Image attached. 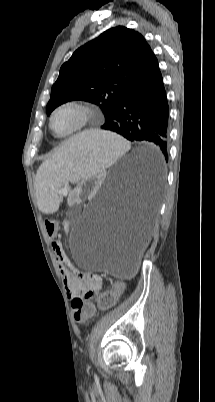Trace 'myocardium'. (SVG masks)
Masks as SVG:
<instances>
[{"label": "myocardium", "mask_w": 215, "mask_h": 402, "mask_svg": "<svg viewBox=\"0 0 215 402\" xmlns=\"http://www.w3.org/2000/svg\"><path fill=\"white\" fill-rule=\"evenodd\" d=\"M63 110L75 111L79 115V121L78 124L72 130L60 134L57 133L56 130L54 129L53 122L56 115ZM93 116H94V109L89 104L75 100L66 101L58 105L51 112V115L49 117V128L56 137L69 138L85 130L92 121Z\"/></svg>", "instance_id": "myocardium-1"}]
</instances>
